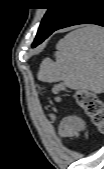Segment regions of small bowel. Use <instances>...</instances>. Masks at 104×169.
I'll list each match as a JSON object with an SVG mask.
<instances>
[{
	"instance_id": "obj_1",
	"label": "small bowel",
	"mask_w": 104,
	"mask_h": 169,
	"mask_svg": "<svg viewBox=\"0 0 104 169\" xmlns=\"http://www.w3.org/2000/svg\"><path fill=\"white\" fill-rule=\"evenodd\" d=\"M84 121L77 116H69L63 119L60 125V133L64 138L78 136L84 130Z\"/></svg>"
}]
</instances>
